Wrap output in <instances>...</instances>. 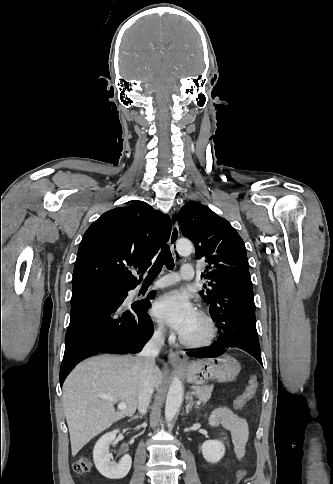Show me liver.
I'll return each instance as SVG.
<instances>
[{"label":"liver","mask_w":333,"mask_h":484,"mask_svg":"<svg viewBox=\"0 0 333 484\" xmlns=\"http://www.w3.org/2000/svg\"><path fill=\"white\" fill-rule=\"evenodd\" d=\"M162 380L155 366L154 387H159ZM138 394L139 369L133 356H96L76 366L63 384L62 395L72 455L114 422L131 417L138 406ZM116 402H124L126 409L115 411Z\"/></svg>","instance_id":"1"}]
</instances>
